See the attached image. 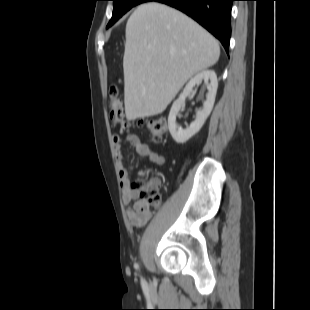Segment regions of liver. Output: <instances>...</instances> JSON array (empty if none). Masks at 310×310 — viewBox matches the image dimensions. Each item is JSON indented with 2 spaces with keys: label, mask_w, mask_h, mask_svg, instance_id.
<instances>
[{
  "label": "liver",
  "mask_w": 310,
  "mask_h": 310,
  "mask_svg": "<svg viewBox=\"0 0 310 310\" xmlns=\"http://www.w3.org/2000/svg\"><path fill=\"white\" fill-rule=\"evenodd\" d=\"M219 56L217 40L180 11L156 2L137 7L126 24L127 120L161 114L188 79Z\"/></svg>",
  "instance_id": "1"
}]
</instances>
